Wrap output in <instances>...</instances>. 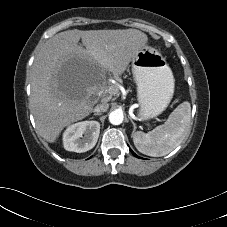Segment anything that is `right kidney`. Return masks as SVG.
Listing matches in <instances>:
<instances>
[{
  "mask_svg": "<svg viewBox=\"0 0 227 227\" xmlns=\"http://www.w3.org/2000/svg\"><path fill=\"white\" fill-rule=\"evenodd\" d=\"M100 123L98 121H82L69 126L63 134V145L68 151L77 153L92 149L98 140Z\"/></svg>",
  "mask_w": 227,
  "mask_h": 227,
  "instance_id": "obj_1",
  "label": "right kidney"
}]
</instances>
